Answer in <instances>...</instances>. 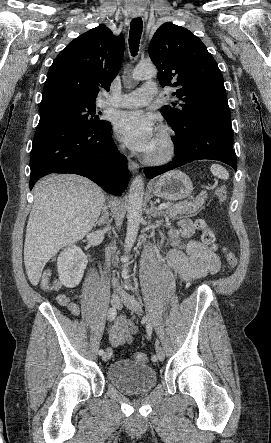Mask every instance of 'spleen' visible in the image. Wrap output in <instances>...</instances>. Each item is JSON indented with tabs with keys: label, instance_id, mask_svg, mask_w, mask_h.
<instances>
[{
	"label": "spleen",
	"instance_id": "obj_1",
	"mask_svg": "<svg viewBox=\"0 0 271 443\" xmlns=\"http://www.w3.org/2000/svg\"><path fill=\"white\" fill-rule=\"evenodd\" d=\"M213 176H217V178H221V180H228L229 174L223 166H219V164H212L210 168Z\"/></svg>",
	"mask_w": 271,
	"mask_h": 443
}]
</instances>
